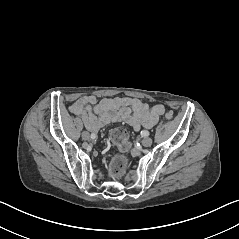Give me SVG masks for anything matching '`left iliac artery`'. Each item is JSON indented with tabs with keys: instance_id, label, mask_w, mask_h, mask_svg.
Here are the masks:
<instances>
[{
	"instance_id": "44dca946",
	"label": "left iliac artery",
	"mask_w": 239,
	"mask_h": 239,
	"mask_svg": "<svg viewBox=\"0 0 239 239\" xmlns=\"http://www.w3.org/2000/svg\"><path fill=\"white\" fill-rule=\"evenodd\" d=\"M141 136L147 137V136H149V132L147 130H143V131H141Z\"/></svg>"
}]
</instances>
